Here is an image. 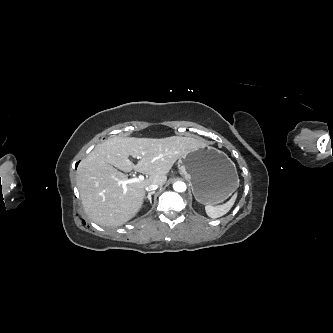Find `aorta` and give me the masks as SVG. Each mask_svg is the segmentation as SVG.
<instances>
[{
  "mask_svg": "<svg viewBox=\"0 0 333 333\" xmlns=\"http://www.w3.org/2000/svg\"><path fill=\"white\" fill-rule=\"evenodd\" d=\"M186 184L184 182L178 181L173 184V189L177 192L186 191Z\"/></svg>",
  "mask_w": 333,
  "mask_h": 333,
  "instance_id": "obj_1",
  "label": "aorta"
}]
</instances>
